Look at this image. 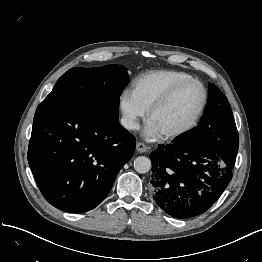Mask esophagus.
<instances>
[{
  "instance_id": "1",
  "label": "esophagus",
  "mask_w": 262,
  "mask_h": 262,
  "mask_svg": "<svg viewBox=\"0 0 262 262\" xmlns=\"http://www.w3.org/2000/svg\"><path fill=\"white\" fill-rule=\"evenodd\" d=\"M136 150L139 153H145L148 150V147L142 142H137L136 143Z\"/></svg>"
}]
</instances>
